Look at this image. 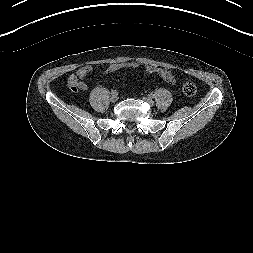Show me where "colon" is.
<instances>
[{
	"label": "colon",
	"mask_w": 253,
	"mask_h": 253,
	"mask_svg": "<svg viewBox=\"0 0 253 253\" xmlns=\"http://www.w3.org/2000/svg\"><path fill=\"white\" fill-rule=\"evenodd\" d=\"M77 82H78V77L77 76H72L69 80V87L72 91H77ZM183 92L187 96H193L197 92V86L194 82L188 81L184 83L183 85Z\"/></svg>",
	"instance_id": "5ec220e1"
}]
</instances>
